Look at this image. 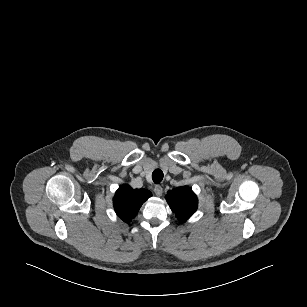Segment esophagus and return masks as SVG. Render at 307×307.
I'll list each match as a JSON object with an SVG mask.
<instances>
[{
    "instance_id": "esophagus-1",
    "label": "esophagus",
    "mask_w": 307,
    "mask_h": 307,
    "mask_svg": "<svg viewBox=\"0 0 307 307\" xmlns=\"http://www.w3.org/2000/svg\"><path fill=\"white\" fill-rule=\"evenodd\" d=\"M154 192L156 196L160 197L162 195L163 188L160 185H155Z\"/></svg>"
}]
</instances>
